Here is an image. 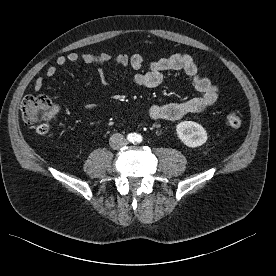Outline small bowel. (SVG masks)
<instances>
[{
	"instance_id": "c3829d8e",
	"label": "small bowel",
	"mask_w": 276,
	"mask_h": 276,
	"mask_svg": "<svg viewBox=\"0 0 276 276\" xmlns=\"http://www.w3.org/2000/svg\"><path fill=\"white\" fill-rule=\"evenodd\" d=\"M82 61L87 64H94L98 67V74L102 83L107 86L108 81L104 70V65L114 61L116 64L124 67H131L137 72L133 76L135 84L146 87H158L164 80L165 71H180L192 79L194 88L199 95L187 101L180 103H171L165 105H153L148 110L150 118L155 120H177L185 115L200 113L211 107L218 98V88L206 77L199 74V67L194 59L185 53H176L167 57L160 58L153 62L147 71H140L145 63V58L141 54L127 55L118 54L112 56L108 52L100 54L70 52L67 55L58 56L55 65L46 68L47 77H53L57 74V66H64L66 63H77ZM44 79L38 77L33 89L38 92L43 88ZM98 107V103L89 102L85 108L92 110Z\"/></svg>"
}]
</instances>
